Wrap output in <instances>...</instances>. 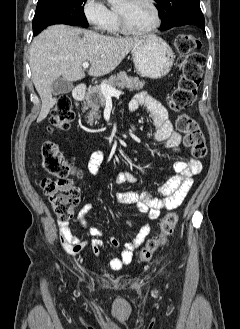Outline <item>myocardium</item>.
<instances>
[{
    "label": "myocardium",
    "instance_id": "obj_1",
    "mask_svg": "<svg viewBox=\"0 0 240 329\" xmlns=\"http://www.w3.org/2000/svg\"><path fill=\"white\" fill-rule=\"evenodd\" d=\"M147 2L153 9L154 22L148 28L141 29V30H135V29L130 28L127 24L126 18L124 16V14L122 13V11L119 10L118 8L116 9L118 23H119V29L123 34L131 35V36H144V35L153 33L160 27V25L162 23V16H161V11H160L158 4L156 3L155 0H147Z\"/></svg>",
    "mask_w": 240,
    "mask_h": 329
}]
</instances>
